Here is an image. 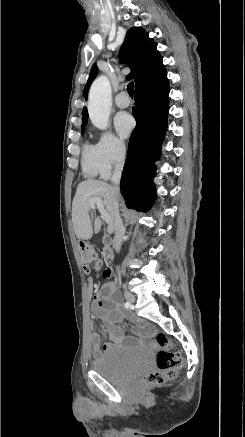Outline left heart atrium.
<instances>
[{"instance_id": "1", "label": "left heart atrium", "mask_w": 245, "mask_h": 437, "mask_svg": "<svg viewBox=\"0 0 245 437\" xmlns=\"http://www.w3.org/2000/svg\"><path fill=\"white\" fill-rule=\"evenodd\" d=\"M114 125L122 137H128L134 126L133 118L128 113L121 112L115 117Z\"/></svg>"}]
</instances>
